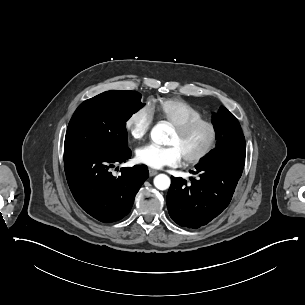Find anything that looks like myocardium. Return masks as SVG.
<instances>
[{"instance_id":"f54148a6","label":"myocardium","mask_w":305,"mask_h":305,"mask_svg":"<svg viewBox=\"0 0 305 305\" xmlns=\"http://www.w3.org/2000/svg\"><path fill=\"white\" fill-rule=\"evenodd\" d=\"M199 126H207L211 131V139L209 143L196 155L184 157L183 160L187 164H198L207 159L216 149L219 139L220 130L216 122L211 119H195L187 122L173 124V128L179 133H189Z\"/></svg>"}]
</instances>
